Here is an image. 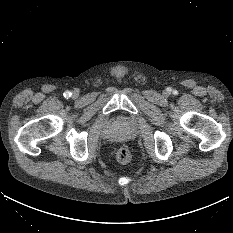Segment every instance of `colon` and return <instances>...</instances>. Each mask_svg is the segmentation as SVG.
Segmentation results:
<instances>
[{
	"mask_svg": "<svg viewBox=\"0 0 233 233\" xmlns=\"http://www.w3.org/2000/svg\"><path fill=\"white\" fill-rule=\"evenodd\" d=\"M116 159L119 163L127 164L131 160V152L126 147H121L116 152Z\"/></svg>",
	"mask_w": 233,
	"mask_h": 233,
	"instance_id": "colon-1",
	"label": "colon"
}]
</instances>
